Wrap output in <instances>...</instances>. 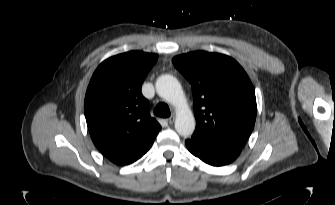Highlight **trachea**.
<instances>
[{
  "instance_id": "3493384b",
  "label": "trachea",
  "mask_w": 335,
  "mask_h": 205,
  "mask_svg": "<svg viewBox=\"0 0 335 205\" xmlns=\"http://www.w3.org/2000/svg\"><path fill=\"white\" fill-rule=\"evenodd\" d=\"M154 114L156 116L162 117V118H167L170 116V109L167 104L165 103H159L155 108H154Z\"/></svg>"
}]
</instances>
